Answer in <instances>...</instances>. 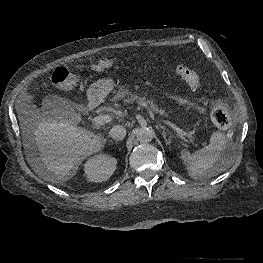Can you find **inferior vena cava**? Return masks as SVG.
<instances>
[{"label":"inferior vena cava","mask_w":263,"mask_h":263,"mask_svg":"<svg viewBox=\"0 0 263 263\" xmlns=\"http://www.w3.org/2000/svg\"><path fill=\"white\" fill-rule=\"evenodd\" d=\"M110 137L116 141L123 140L126 136V129L121 125L112 127L109 133Z\"/></svg>","instance_id":"obj_1"}]
</instances>
